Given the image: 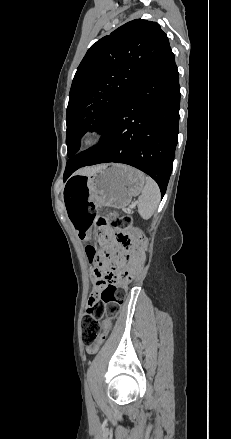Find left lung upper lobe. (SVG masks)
Instances as JSON below:
<instances>
[{"instance_id":"left-lung-upper-lobe-1","label":"left lung upper lobe","mask_w":231,"mask_h":439,"mask_svg":"<svg viewBox=\"0 0 231 439\" xmlns=\"http://www.w3.org/2000/svg\"><path fill=\"white\" fill-rule=\"evenodd\" d=\"M171 51L160 25L130 21L94 43L74 76L67 107L66 144L71 159L87 131L102 132L132 88ZM68 169L64 178H68Z\"/></svg>"}]
</instances>
